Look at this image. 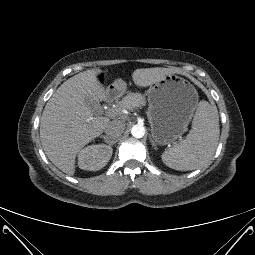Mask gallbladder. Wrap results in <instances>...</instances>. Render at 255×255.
<instances>
[{"label":"gallbladder","instance_id":"obj_1","mask_svg":"<svg viewBox=\"0 0 255 255\" xmlns=\"http://www.w3.org/2000/svg\"><path fill=\"white\" fill-rule=\"evenodd\" d=\"M85 102H86V105H88L89 107L95 106V103L93 101H90L89 99H86Z\"/></svg>","mask_w":255,"mask_h":255}]
</instances>
